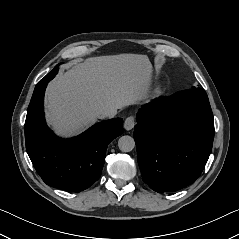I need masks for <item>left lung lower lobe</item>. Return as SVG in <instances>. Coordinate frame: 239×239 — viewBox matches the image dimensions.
Returning a JSON list of instances; mask_svg holds the SVG:
<instances>
[{
	"mask_svg": "<svg viewBox=\"0 0 239 239\" xmlns=\"http://www.w3.org/2000/svg\"><path fill=\"white\" fill-rule=\"evenodd\" d=\"M137 122V160L143 181L154 191H177L200 176L214 138L204 90L188 89L145 104Z\"/></svg>",
	"mask_w": 239,
	"mask_h": 239,
	"instance_id": "0a47b994",
	"label": "left lung lower lobe"
}]
</instances>
